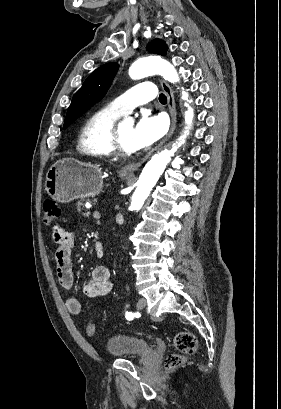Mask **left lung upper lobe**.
Listing matches in <instances>:
<instances>
[{
	"label": "left lung upper lobe",
	"mask_w": 281,
	"mask_h": 409,
	"mask_svg": "<svg viewBox=\"0 0 281 409\" xmlns=\"http://www.w3.org/2000/svg\"><path fill=\"white\" fill-rule=\"evenodd\" d=\"M149 52L164 55L167 46L164 41L155 39L149 44ZM117 63H107L97 68L83 83L82 87L75 93L68 108L63 129L99 102L106 94L111 82L118 70Z\"/></svg>",
	"instance_id": "1"
}]
</instances>
